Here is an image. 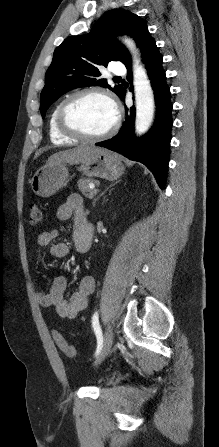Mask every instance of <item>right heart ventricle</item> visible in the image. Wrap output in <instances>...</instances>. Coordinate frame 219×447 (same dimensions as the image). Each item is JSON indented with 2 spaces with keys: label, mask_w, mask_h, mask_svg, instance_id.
Segmentation results:
<instances>
[{
  "label": "right heart ventricle",
  "mask_w": 219,
  "mask_h": 447,
  "mask_svg": "<svg viewBox=\"0 0 219 447\" xmlns=\"http://www.w3.org/2000/svg\"><path fill=\"white\" fill-rule=\"evenodd\" d=\"M61 102L57 103L52 109L49 119H48V135L50 140L56 144H70L78 141V139H74L66 136L62 132L59 131L56 123V116L58 109L60 107Z\"/></svg>",
  "instance_id": "e07e8e85"
}]
</instances>
